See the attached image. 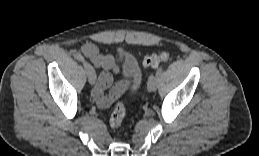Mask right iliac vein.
I'll use <instances>...</instances> for the list:
<instances>
[{
	"label": "right iliac vein",
	"mask_w": 259,
	"mask_h": 156,
	"mask_svg": "<svg viewBox=\"0 0 259 156\" xmlns=\"http://www.w3.org/2000/svg\"><path fill=\"white\" fill-rule=\"evenodd\" d=\"M84 67H85V70H86V73H87V77H88V80H89V83L91 85H94L95 84V81H96V73H95V70L93 69V67L87 63V62H84Z\"/></svg>",
	"instance_id": "63e3f726"
}]
</instances>
